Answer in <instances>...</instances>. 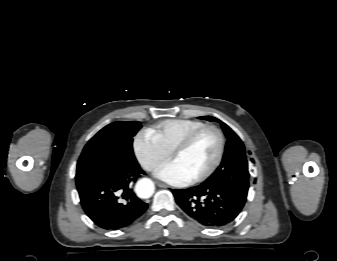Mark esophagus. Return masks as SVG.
<instances>
[{
	"label": "esophagus",
	"mask_w": 337,
	"mask_h": 261,
	"mask_svg": "<svg viewBox=\"0 0 337 261\" xmlns=\"http://www.w3.org/2000/svg\"><path fill=\"white\" fill-rule=\"evenodd\" d=\"M157 185L161 188H171L170 186L164 184V183H161V182H157Z\"/></svg>",
	"instance_id": "1"
}]
</instances>
